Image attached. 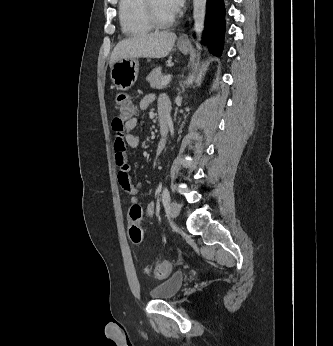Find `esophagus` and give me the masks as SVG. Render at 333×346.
<instances>
[{"instance_id": "obj_1", "label": "esophagus", "mask_w": 333, "mask_h": 346, "mask_svg": "<svg viewBox=\"0 0 333 346\" xmlns=\"http://www.w3.org/2000/svg\"><path fill=\"white\" fill-rule=\"evenodd\" d=\"M189 39H188V36L186 34H181L179 36V41L181 42H187Z\"/></svg>"}]
</instances>
